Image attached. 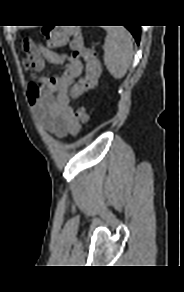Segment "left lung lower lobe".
<instances>
[{
    "label": "left lung lower lobe",
    "mask_w": 184,
    "mask_h": 292,
    "mask_svg": "<svg viewBox=\"0 0 184 292\" xmlns=\"http://www.w3.org/2000/svg\"><path fill=\"white\" fill-rule=\"evenodd\" d=\"M132 33L137 44L140 42V26H125Z\"/></svg>",
    "instance_id": "obj_1"
}]
</instances>
